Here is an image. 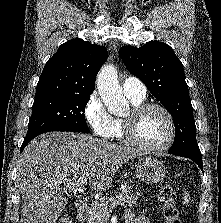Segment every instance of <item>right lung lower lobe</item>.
Segmentation results:
<instances>
[{"mask_svg":"<svg viewBox=\"0 0 221 223\" xmlns=\"http://www.w3.org/2000/svg\"><path fill=\"white\" fill-rule=\"evenodd\" d=\"M36 136H33V137H29V138H25L23 143H22V146L20 148V152L23 151V149L26 147V145Z\"/></svg>","mask_w":221,"mask_h":223,"instance_id":"1","label":"right lung lower lobe"}]
</instances>
